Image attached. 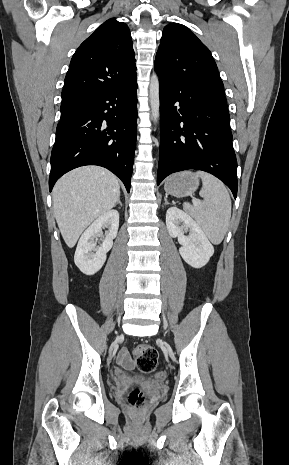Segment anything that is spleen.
I'll return each mask as SVG.
<instances>
[{
    "label": "spleen",
    "mask_w": 289,
    "mask_h": 465,
    "mask_svg": "<svg viewBox=\"0 0 289 465\" xmlns=\"http://www.w3.org/2000/svg\"><path fill=\"white\" fill-rule=\"evenodd\" d=\"M202 179L199 194L203 198L197 205L184 203V208L193 216L209 240L218 245L224 239L231 218V198L225 185L213 175L198 171Z\"/></svg>",
    "instance_id": "obj_1"
}]
</instances>
